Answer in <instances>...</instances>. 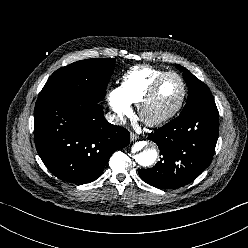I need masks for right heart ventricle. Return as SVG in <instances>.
<instances>
[{"label":"right heart ventricle","mask_w":248,"mask_h":248,"mask_svg":"<svg viewBox=\"0 0 248 248\" xmlns=\"http://www.w3.org/2000/svg\"><path fill=\"white\" fill-rule=\"evenodd\" d=\"M151 66H135L122 79L121 89L130 103L139 104L154 80L165 73Z\"/></svg>","instance_id":"e07e8e85"}]
</instances>
